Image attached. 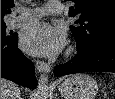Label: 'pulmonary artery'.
<instances>
[{"label": "pulmonary artery", "mask_w": 115, "mask_h": 99, "mask_svg": "<svg viewBox=\"0 0 115 99\" xmlns=\"http://www.w3.org/2000/svg\"><path fill=\"white\" fill-rule=\"evenodd\" d=\"M63 12V6L59 1H49L44 8L27 9L20 15L13 17L9 21L11 28L21 26L23 24L36 21L44 14L58 15Z\"/></svg>", "instance_id": "pulmonary-artery-1"}]
</instances>
